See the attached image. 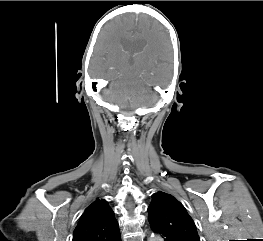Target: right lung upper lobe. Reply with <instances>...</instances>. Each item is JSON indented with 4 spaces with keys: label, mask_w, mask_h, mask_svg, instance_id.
I'll list each match as a JSON object with an SVG mask.
<instances>
[{
    "label": "right lung upper lobe",
    "mask_w": 263,
    "mask_h": 241,
    "mask_svg": "<svg viewBox=\"0 0 263 241\" xmlns=\"http://www.w3.org/2000/svg\"><path fill=\"white\" fill-rule=\"evenodd\" d=\"M119 226L114 212L103 199H97L82 214L72 241H119Z\"/></svg>",
    "instance_id": "cb5924a9"
}]
</instances>
